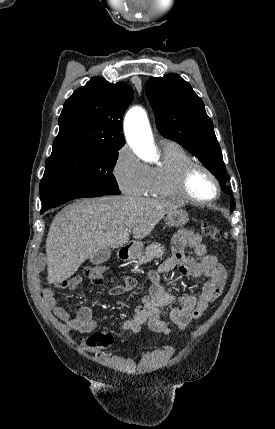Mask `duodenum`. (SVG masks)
<instances>
[{
	"mask_svg": "<svg viewBox=\"0 0 275 429\" xmlns=\"http://www.w3.org/2000/svg\"><path fill=\"white\" fill-rule=\"evenodd\" d=\"M133 251H134V246L132 244H127L120 248L119 255L121 259L127 260L132 256Z\"/></svg>",
	"mask_w": 275,
	"mask_h": 429,
	"instance_id": "1",
	"label": "duodenum"
}]
</instances>
